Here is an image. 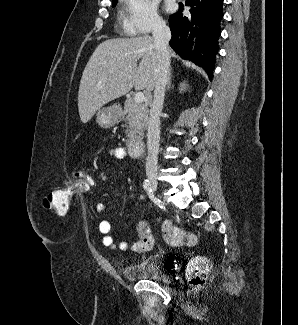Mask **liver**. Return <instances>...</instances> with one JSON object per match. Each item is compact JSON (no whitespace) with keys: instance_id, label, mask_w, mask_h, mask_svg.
Segmentation results:
<instances>
[{"instance_id":"liver-1","label":"liver","mask_w":298,"mask_h":325,"mask_svg":"<svg viewBox=\"0 0 298 325\" xmlns=\"http://www.w3.org/2000/svg\"><path fill=\"white\" fill-rule=\"evenodd\" d=\"M170 56H176L168 46ZM141 58L139 64H137ZM158 58L153 36L109 38L100 42L91 54L81 76L78 90V112L88 122L95 112L133 86L148 92L157 82Z\"/></svg>"}]
</instances>
